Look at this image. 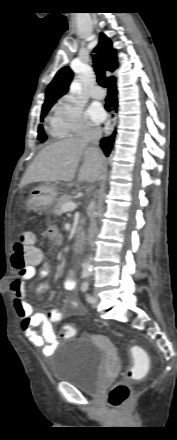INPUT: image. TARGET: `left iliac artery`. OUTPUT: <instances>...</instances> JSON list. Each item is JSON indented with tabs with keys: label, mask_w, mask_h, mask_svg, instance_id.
Segmentation results:
<instances>
[{
	"label": "left iliac artery",
	"mask_w": 177,
	"mask_h": 440,
	"mask_svg": "<svg viewBox=\"0 0 177 440\" xmlns=\"http://www.w3.org/2000/svg\"><path fill=\"white\" fill-rule=\"evenodd\" d=\"M88 289H89V282H88V281L83 282V284H82V286H81V290H82L83 292H87ZM86 300H87L89 303H92V302H94V297L91 296V295H89V294H86Z\"/></svg>",
	"instance_id": "left-iliac-artery-1"
}]
</instances>
